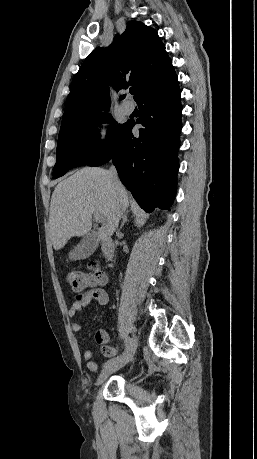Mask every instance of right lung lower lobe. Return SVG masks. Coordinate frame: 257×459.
Masks as SVG:
<instances>
[{
  "label": "right lung lower lobe",
  "instance_id": "98d812e1",
  "mask_svg": "<svg viewBox=\"0 0 257 459\" xmlns=\"http://www.w3.org/2000/svg\"><path fill=\"white\" fill-rule=\"evenodd\" d=\"M180 94L174 73L142 95L137 100V123L143 126L139 137L131 133L135 122L128 121L111 150L87 164L100 166L112 160L121 182L146 212L169 210L175 196L182 129Z\"/></svg>",
  "mask_w": 257,
  "mask_h": 459
}]
</instances>
